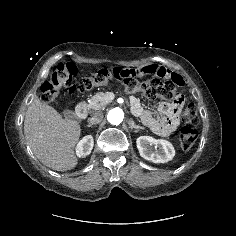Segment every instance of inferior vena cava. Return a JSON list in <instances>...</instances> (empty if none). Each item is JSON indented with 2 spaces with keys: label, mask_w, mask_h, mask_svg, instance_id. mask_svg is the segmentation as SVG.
<instances>
[{
  "label": "inferior vena cava",
  "mask_w": 236,
  "mask_h": 236,
  "mask_svg": "<svg viewBox=\"0 0 236 236\" xmlns=\"http://www.w3.org/2000/svg\"><path fill=\"white\" fill-rule=\"evenodd\" d=\"M102 120H103V114L97 113L88 119V124L89 125L99 124Z\"/></svg>",
  "instance_id": "inferior-vena-cava-1"
}]
</instances>
